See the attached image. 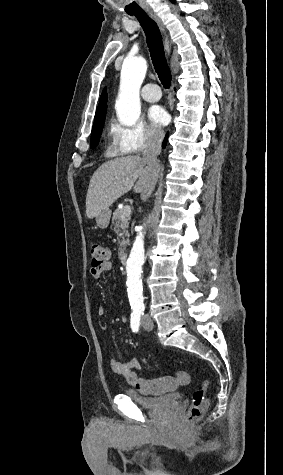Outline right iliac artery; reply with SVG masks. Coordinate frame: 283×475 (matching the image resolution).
<instances>
[{
	"mask_svg": "<svg viewBox=\"0 0 283 475\" xmlns=\"http://www.w3.org/2000/svg\"><path fill=\"white\" fill-rule=\"evenodd\" d=\"M140 317L141 313L138 312H132L131 313V328L133 332H138L139 326H140Z\"/></svg>",
	"mask_w": 283,
	"mask_h": 475,
	"instance_id": "1",
	"label": "right iliac artery"
}]
</instances>
